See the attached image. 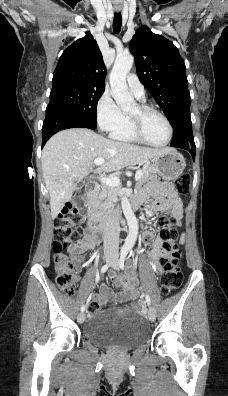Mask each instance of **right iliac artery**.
<instances>
[{"mask_svg":"<svg viewBox=\"0 0 228 396\" xmlns=\"http://www.w3.org/2000/svg\"><path fill=\"white\" fill-rule=\"evenodd\" d=\"M109 266H110L109 264H105V265L101 268V273H102V274L105 273V272L108 270ZM85 309H86V306H85V305H82V306H81V312H84Z\"/></svg>","mask_w":228,"mask_h":396,"instance_id":"1","label":"right iliac artery"}]
</instances>
